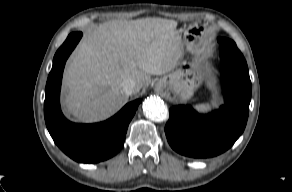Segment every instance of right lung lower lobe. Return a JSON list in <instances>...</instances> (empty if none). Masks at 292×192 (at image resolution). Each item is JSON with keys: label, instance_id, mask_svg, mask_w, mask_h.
<instances>
[{"label": "right lung lower lobe", "instance_id": "98d812e1", "mask_svg": "<svg viewBox=\"0 0 292 192\" xmlns=\"http://www.w3.org/2000/svg\"><path fill=\"white\" fill-rule=\"evenodd\" d=\"M81 37V32L71 33L53 58L45 89L44 116L51 137L65 154L77 162L97 163L120 151L141 100L128 103L115 116L98 124H74L63 116L59 103L63 69Z\"/></svg>", "mask_w": 292, "mask_h": 192}]
</instances>
